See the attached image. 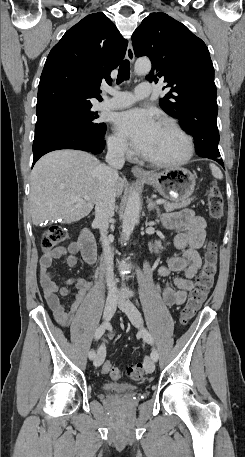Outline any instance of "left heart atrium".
<instances>
[{"label": "left heart atrium", "instance_id": "1", "mask_svg": "<svg viewBox=\"0 0 245 457\" xmlns=\"http://www.w3.org/2000/svg\"><path fill=\"white\" fill-rule=\"evenodd\" d=\"M115 126L117 131L127 137L138 150H143L159 129L153 114L139 108L118 114Z\"/></svg>", "mask_w": 245, "mask_h": 457}]
</instances>
